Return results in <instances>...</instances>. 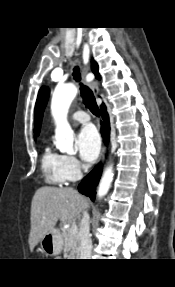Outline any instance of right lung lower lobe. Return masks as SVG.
Segmentation results:
<instances>
[{
	"instance_id": "obj_1",
	"label": "right lung lower lobe",
	"mask_w": 175,
	"mask_h": 287,
	"mask_svg": "<svg viewBox=\"0 0 175 287\" xmlns=\"http://www.w3.org/2000/svg\"><path fill=\"white\" fill-rule=\"evenodd\" d=\"M101 114H102V126H101V134L105 139V143H107L109 139V131H110V124H109V117L106 111V107L104 104L101 105ZM102 172V165H97L79 184L78 190L80 193L88 196L91 198L92 201L95 199L96 191L95 188L98 185V182L101 177Z\"/></svg>"
}]
</instances>
